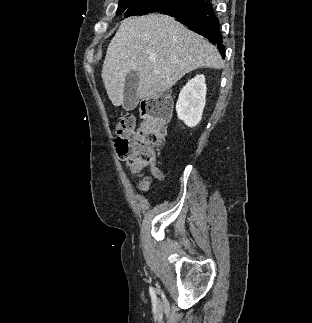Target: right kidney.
<instances>
[{"instance_id": "right-kidney-1", "label": "right kidney", "mask_w": 312, "mask_h": 323, "mask_svg": "<svg viewBox=\"0 0 312 323\" xmlns=\"http://www.w3.org/2000/svg\"><path fill=\"white\" fill-rule=\"evenodd\" d=\"M205 104V76L201 74V76H195V78L189 80L179 94L176 104V112L179 120H183L184 124L189 126V128H194L202 118Z\"/></svg>"}]
</instances>
